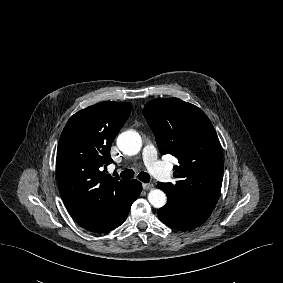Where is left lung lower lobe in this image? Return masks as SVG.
Segmentation results:
<instances>
[{
	"instance_id": "obj_1",
	"label": "left lung lower lobe",
	"mask_w": 283,
	"mask_h": 283,
	"mask_svg": "<svg viewBox=\"0 0 283 283\" xmlns=\"http://www.w3.org/2000/svg\"><path fill=\"white\" fill-rule=\"evenodd\" d=\"M157 187L165 191L164 186L159 183ZM167 204L158 210V216L162 223L181 231L192 230L203 224L211 212L193 207L182 197L167 195Z\"/></svg>"
}]
</instances>
